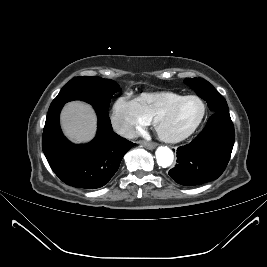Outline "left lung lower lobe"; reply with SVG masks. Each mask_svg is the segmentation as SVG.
<instances>
[{
	"label": "left lung lower lobe",
	"instance_id": "left-lung-lower-lobe-1",
	"mask_svg": "<svg viewBox=\"0 0 267 267\" xmlns=\"http://www.w3.org/2000/svg\"><path fill=\"white\" fill-rule=\"evenodd\" d=\"M229 111L214 112L190 143L177 149V164L169 176L178 184L194 186L217 179L226 168L234 145Z\"/></svg>",
	"mask_w": 267,
	"mask_h": 267
}]
</instances>
